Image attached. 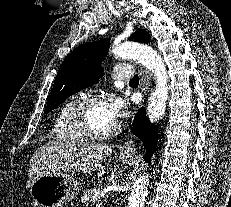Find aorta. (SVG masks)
Listing matches in <instances>:
<instances>
[{"instance_id": "aorta-1", "label": "aorta", "mask_w": 231, "mask_h": 207, "mask_svg": "<svg viewBox=\"0 0 231 207\" xmlns=\"http://www.w3.org/2000/svg\"><path fill=\"white\" fill-rule=\"evenodd\" d=\"M111 53L118 59L137 60L154 74L156 86L148 100L147 117L153 123L159 121L165 113L168 100V75L161 56L151 47L135 42L115 45ZM148 185L149 174L143 173L133 183L128 197V207L145 206Z\"/></svg>"}]
</instances>
